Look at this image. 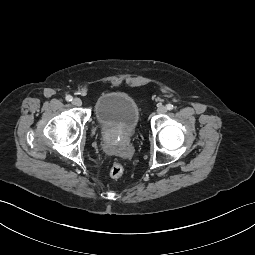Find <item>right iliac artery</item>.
I'll return each mask as SVG.
<instances>
[{
    "mask_svg": "<svg viewBox=\"0 0 255 255\" xmlns=\"http://www.w3.org/2000/svg\"><path fill=\"white\" fill-rule=\"evenodd\" d=\"M72 99H73V98H72V96H71V95H67V96H66V100H67V101H69V102H70V101H72Z\"/></svg>",
    "mask_w": 255,
    "mask_h": 255,
    "instance_id": "82829eb1",
    "label": "right iliac artery"
}]
</instances>
